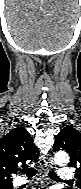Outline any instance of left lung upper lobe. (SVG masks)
Wrapping results in <instances>:
<instances>
[{
  "mask_svg": "<svg viewBox=\"0 0 81 189\" xmlns=\"http://www.w3.org/2000/svg\"><path fill=\"white\" fill-rule=\"evenodd\" d=\"M66 150L70 155L69 166L76 168V186L81 189V132L71 126L58 134L53 151Z\"/></svg>",
  "mask_w": 81,
  "mask_h": 189,
  "instance_id": "5c2ea615",
  "label": "left lung upper lobe"
}]
</instances>
